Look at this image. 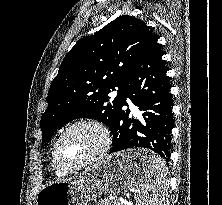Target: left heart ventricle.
I'll use <instances>...</instances> for the list:
<instances>
[{"label": "left heart ventricle", "mask_w": 222, "mask_h": 205, "mask_svg": "<svg viewBox=\"0 0 222 205\" xmlns=\"http://www.w3.org/2000/svg\"><path fill=\"white\" fill-rule=\"evenodd\" d=\"M102 137L100 133L88 126H80L71 130L60 142L58 158L66 166L76 165L100 148Z\"/></svg>", "instance_id": "b2bd125f"}]
</instances>
